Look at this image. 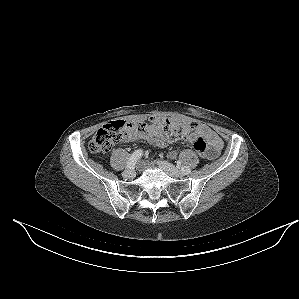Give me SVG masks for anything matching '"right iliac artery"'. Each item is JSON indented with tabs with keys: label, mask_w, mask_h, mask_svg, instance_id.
I'll return each instance as SVG.
<instances>
[{
	"label": "right iliac artery",
	"mask_w": 299,
	"mask_h": 299,
	"mask_svg": "<svg viewBox=\"0 0 299 299\" xmlns=\"http://www.w3.org/2000/svg\"><path fill=\"white\" fill-rule=\"evenodd\" d=\"M142 153H143V151L141 149L133 152V154L130 156V158L126 164V168L127 169L133 168L135 166V164L137 163V161L141 158Z\"/></svg>",
	"instance_id": "82829eb1"
}]
</instances>
